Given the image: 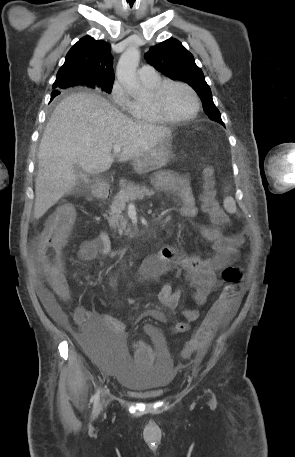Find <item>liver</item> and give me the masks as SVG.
Returning a JSON list of instances; mask_svg holds the SVG:
<instances>
[{
    "mask_svg": "<svg viewBox=\"0 0 295 457\" xmlns=\"http://www.w3.org/2000/svg\"><path fill=\"white\" fill-rule=\"evenodd\" d=\"M169 128L134 121L104 97L76 93L55 108L38 151L34 218H41L77 181L78 165L91 175L107 171L112 149L119 145V161L135 159L171 137Z\"/></svg>",
    "mask_w": 295,
    "mask_h": 457,
    "instance_id": "liver-1",
    "label": "liver"
}]
</instances>
